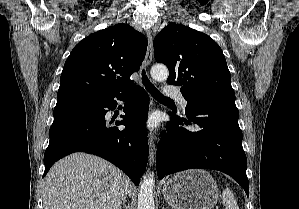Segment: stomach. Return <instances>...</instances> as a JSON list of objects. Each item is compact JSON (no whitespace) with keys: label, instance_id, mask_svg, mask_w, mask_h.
<instances>
[{"label":"stomach","instance_id":"0dacf381","mask_svg":"<svg viewBox=\"0 0 299 209\" xmlns=\"http://www.w3.org/2000/svg\"><path fill=\"white\" fill-rule=\"evenodd\" d=\"M163 196L173 209H212L218 200V188L205 170L180 172L163 186Z\"/></svg>","mask_w":299,"mask_h":209}]
</instances>
